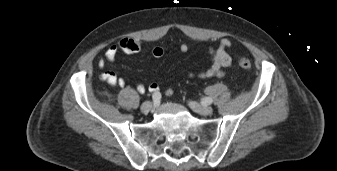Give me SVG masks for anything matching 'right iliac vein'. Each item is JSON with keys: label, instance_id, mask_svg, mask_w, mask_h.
Masks as SVG:
<instances>
[{"label": "right iliac vein", "instance_id": "obj_1", "mask_svg": "<svg viewBox=\"0 0 337 171\" xmlns=\"http://www.w3.org/2000/svg\"><path fill=\"white\" fill-rule=\"evenodd\" d=\"M153 109H154V105L150 101H146L141 105V112L142 113H148Z\"/></svg>", "mask_w": 337, "mask_h": 171}]
</instances>
